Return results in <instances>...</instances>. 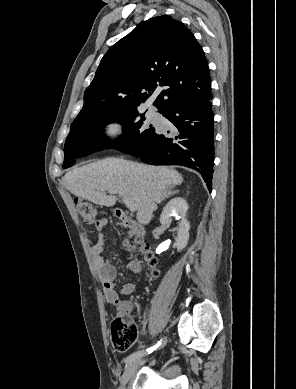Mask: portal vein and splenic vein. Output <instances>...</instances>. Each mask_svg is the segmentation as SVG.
<instances>
[{
    "label": "portal vein and splenic vein",
    "mask_w": 296,
    "mask_h": 389,
    "mask_svg": "<svg viewBox=\"0 0 296 389\" xmlns=\"http://www.w3.org/2000/svg\"><path fill=\"white\" fill-rule=\"evenodd\" d=\"M123 202L124 204L128 207V209L131 211V212H135L136 211V206L130 202L129 200L127 199H123Z\"/></svg>",
    "instance_id": "portal-vein-and-splenic-vein-1"
}]
</instances>
